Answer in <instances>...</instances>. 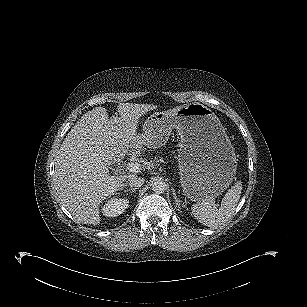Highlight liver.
<instances>
[{
    "label": "liver",
    "mask_w": 307,
    "mask_h": 307,
    "mask_svg": "<svg viewBox=\"0 0 307 307\" xmlns=\"http://www.w3.org/2000/svg\"><path fill=\"white\" fill-rule=\"evenodd\" d=\"M157 106L120 103L118 116L104 107L88 111L70 130L55 157L53 182L62 204L78 221L100 223L99 204L122 188L134 175H110L130 148L139 153L147 145L137 134L139 117Z\"/></svg>",
    "instance_id": "1"
}]
</instances>
